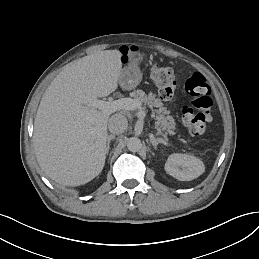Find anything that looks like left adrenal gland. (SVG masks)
Instances as JSON below:
<instances>
[{"mask_svg": "<svg viewBox=\"0 0 259 259\" xmlns=\"http://www.w3.org/2000/svg\"><path fill=\"white\" fill-rule=\"evenodd\" d=\"M150 142L152 143L154 150H157V146L162 144L164 146H168L167 142L165 141V139H154V138H150Z\"/></svg>", "mask_w": 259, "mask_h": 259, "instance_id": "1", "label": "left adrenal gland"}]
</instances>
